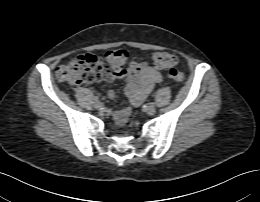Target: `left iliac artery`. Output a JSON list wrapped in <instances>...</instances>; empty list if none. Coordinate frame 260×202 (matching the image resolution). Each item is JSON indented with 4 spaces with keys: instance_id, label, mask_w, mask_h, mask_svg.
Returning a JSON list of instances; mask_svg holds the SVG:
<instances>
[{
    "instance_id": "left-iliac-artery-1",
    "label": "left iliac artery",
    "mask_w": 260,
    "mask_h": 202,
    "mask_svg": "<svg viewBox=\"0 0 260 202\" xmlns=\"http://www.w3.org/2000/svg\"><path fill=\"white\" fill-rule=\"evenodd\" d=\"M147 105H155V103L154 102H150Z\"/></svg>"
}]
</instances>
